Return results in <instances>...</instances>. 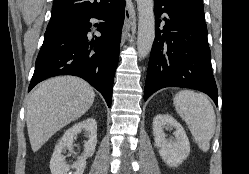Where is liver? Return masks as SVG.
<instances>
[{
  "label": "liver",
  "mask_w": 249,
  "mask_h": 174,
  "mask_svg": "<svg viewBox=\"0 0 249 174\" xmlns=\"http://www.w3.org/2000/svg\"><path fill=\"white\" fill-rule=\"evenodd\" d=\"M95 98L93 88L75 76H60L42 82L30 95L26 124L33 152L57 131L84 115Z\"/></svg>",
  "instance_id": "liver-1"
}]
</instances>
